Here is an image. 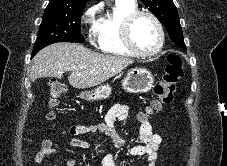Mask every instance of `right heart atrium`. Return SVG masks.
Wrapping results in <instances>:
<instances>
[{"label": "right heart atrium", "mask_w": 227, "mask_h": 166, "mask_svg": "<svg viewBox=\"0 0 227 166\" xmlns=\"http://www.w3.org/2000/svg\"><path fill=\"white\" fill-rule=\"evenodd\" d=\"M97 10H98L97 6H92V7L88 8L84 13L83 20L89 24L94 23ZM90 33L92 34L93 31H91Z\"/></svg>", "instance_id": "right-heart-atrium-1"}]
</instances>
